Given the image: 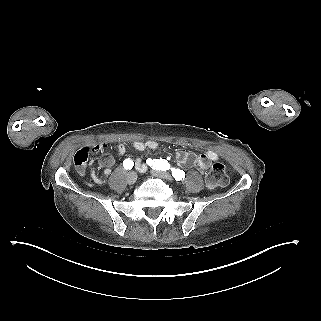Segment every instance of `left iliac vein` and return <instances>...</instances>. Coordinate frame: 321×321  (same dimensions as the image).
Here are the masks:
<instances>
[{"instance_id": "left-iliac-vein-1", "label": "left iliac vein", "mask_w": 321, "mask_h": 321, "mask_svg": "<svg viewBox=\"0 0 321 321\" xmlns=\"http://www.w3.org/2000/svg\"><path fill=\"white\" fill-rule=\"evenodd\" d=\"M151 173L153 176L160 178V179H166L169 181H172V177L168 172L164 171H158V170H151Z\"/></svg>"}]
</instances>
